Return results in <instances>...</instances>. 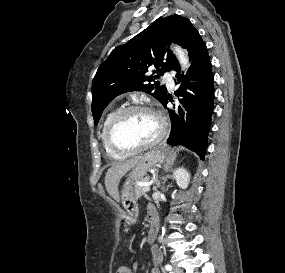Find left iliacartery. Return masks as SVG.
Segmentation results:
<instances>
[{
  "label": "left iliac artery",
  "mask_w": 285,
  "mask_h": 273,
  "mask_svg": "<svg viewBox=\"0 0 285 273\" xmlns=\"http://www.w3.org/2000/svg\"><path fill=\"white\" fill-rule=\"evenodd\" d=\"M165 270H166V271H171V270H172V266L169 265V264L165 265ZM170 273H171V272H170Z\"/></svg>",
  "instance_id": "44dca946"
}]
</instances>
